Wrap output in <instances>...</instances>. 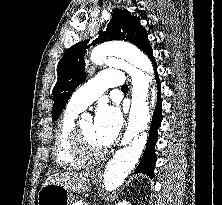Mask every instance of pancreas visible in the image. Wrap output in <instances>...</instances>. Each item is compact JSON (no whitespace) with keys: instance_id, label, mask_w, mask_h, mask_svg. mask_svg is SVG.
Returning a JSON list of instances; mask_svg holds the SVG:
<instances>
[{"instance_id":"obj_1","label":"pancreas","mask_w":222,"mask_h":205,"mask_svg":"<svg viewBox=\"0 0 222 205\" xmlns=\"http://www.w3.org/2000/svg\"><path fill=\"white\" fill-rule=\"evenodd\" d=\"M73 205H76V204H73ZM82 205H87L86 203H83Z\"/></svg>"}]
</instances>
